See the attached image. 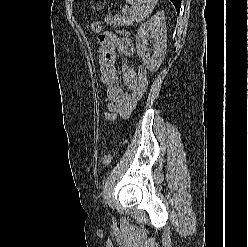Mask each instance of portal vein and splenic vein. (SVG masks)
Returning a JSON list of instances; mask_svg holds the SVG:
<instances>
[{"label": "portal vein and splenic vein", "mask_w": 248, "mask_h": 247, "mask_svg": "<svg viewBox=\"0 0 248 247\" xmlns=\"http://www.w3.org/2000/svg\"><path fill=\"white\" fill-rule=\"evenodd\" d=\"M127 12V9L124 10V14Z\"/></svg>", "instance_id": "18ae733b"}]
</instances>
